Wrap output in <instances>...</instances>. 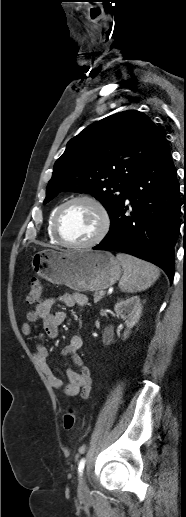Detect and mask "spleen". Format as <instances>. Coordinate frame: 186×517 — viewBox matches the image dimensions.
I'll list each match as a JSON object with an SVG mask.
<instances>
[{
  "instance_id": "spleen-1",
  "label": "spleen",
  "mask_w": 186,
  "mask_h": 517,
  "mask_svg": "<svg viewBox=\"0 0 186 517\" xmlns=\"http://www.w3.org/2000/svg\"><path fill=\"white\" fill-rule=\"evenodd\" d=\"M124 273L119 281L122 292L136 293L148 289L158 279L160 272L154 265L131 255L117 254Z\"/></svg>"
}]
</instances>
